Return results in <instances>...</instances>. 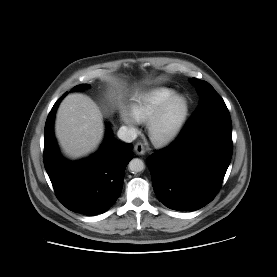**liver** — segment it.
Segmentation results:
<instances>
[{"label":"liver","instance_id":"obj_1","mask_svg":"<svg viewBox=\"0 0 277 277\" xmlns=\"http://www.w3.org/2000/svg\"><path fill=\"white\" fill-rule=\"evenodd\" d=\"M55 131L67 156L83 157L95 151L103 138V115L88 96L70 94L59 106Z\"/></svg>","mask_w":277,"mask_h":277}]
</instances>
